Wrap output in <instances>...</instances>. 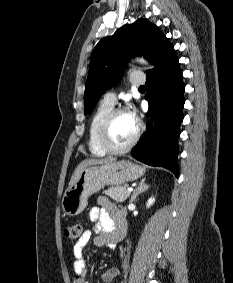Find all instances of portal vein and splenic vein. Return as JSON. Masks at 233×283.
Here are the masks:
<instances>
[{
  "label": "portal vein and splenic vein",
  "mask_w": 233,
  "mask_h": 283,
  "mask_svg": "<svg viewBox=\"0 0 233 283\" xmlns=\"http://www.w3.org/2000/svg\"><path fill=\"white\" fill-rule=\"evenodd\" d=\"M132 191H133V188H131V187L127 189V192H129V193H131Z\"/></svg>",
  "instance_id": "obj_1"
}]
</instances>
